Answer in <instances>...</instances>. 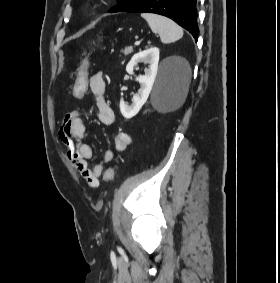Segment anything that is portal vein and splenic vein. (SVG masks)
Here are the masks:
<instances>
[{
  "label": "portal vein and splenic vein",
  "instance_id": "portal-vein-and-splenic-vein-1",
  "mask_svg": "<svg viewBox=\"0 0 280 283\" xmlns=\"http://www.w3.org/2000/svg\"><path fill=\"white\" fill-rule=\"evenodd\" d=\"M139 44H140V42H139V41H136L134 45H135V46H138Z\"/></svg>",
  "mask_w": 280,
  "mask_h": 283
}]
</instances>
